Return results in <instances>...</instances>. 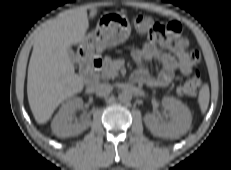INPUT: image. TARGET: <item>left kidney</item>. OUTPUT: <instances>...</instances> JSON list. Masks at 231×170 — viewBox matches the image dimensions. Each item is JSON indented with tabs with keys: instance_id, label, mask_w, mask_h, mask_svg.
<instances>
[{
	"instance_id": "5707ae66",
	"label": "left kidney",
	"mask_w": 231,
	"mask_h": 170,
	"mask_svg": "<svg viewBox=\"0 0 231 170\" xmlns=\"http://www.w3.org/2000/svg\"><path fill=\"white\" fill-rule=\"evenodd\" d=\"M163 107L169 112L171 120L160 122L156 113H147L144 122L151 133L158 137L177 139L190 128L192 116L189 108L174 97H164Z\"/></svg>"
}]
</instances>
